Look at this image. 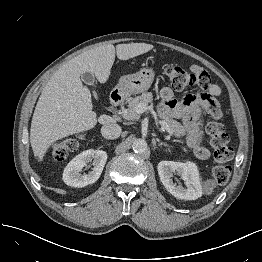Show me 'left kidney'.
<instances>
[{
    "label": "left kidney",
    "mask_w": 262,
    "mask_h": 262,
    "mask_svg": "<svg viewBox=\"0 0 262 262\" xmlns=\"http://www.w3.org/2000/svg\"><path fill=\"white\" fill-rule=\"evenodd\" d=\"M158 174L166 190L175 198L196 200L202 196V185L199 171L195 163L161 161L158 164ZM177 174L185 182V187L177 185L172 178Z\"/></svg>",
    "instance_id": "1"
}]
</instances>
